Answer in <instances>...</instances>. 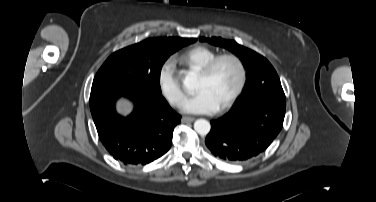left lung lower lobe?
<instances>
[{"label": "left lung lower lobe", "mask_w": 376, "mask_h": 202, "mask_svg": "<svg viewBox=\"0 0 376 202\" xmlns=\"http://www.w3.org/2000/svg\"><path fill=\"white\" fill-rule=\"evenodd\" d=\"M284 116L285 109L267 102L234 109L211 121L205 144L224 161H246L272 143L282 129Z\"/></svg>", "instance_id": "0a47b994"}]
</instances>
